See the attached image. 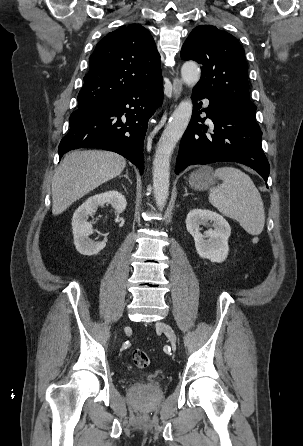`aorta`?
<instances>
[{
  "label": "aorta",
  "mask_w": 303,
  "mask_h": 446,
  "mask_svg": "<svg viewBox=\"0 0 303 446\" xmlns=\"http://www.w3.org/2000/svg\"><path fill=\"white\" fill-rule=\"evenodd\" d=\"M200 68L195 62H186L181 68V77L189 87H194L200 79ZM193 104L183 100L172 113L155 151L153 160V192L156 204L162 208L169 195L170 158L177 142L185 132L191 119Z\"/></svg>",
  "instance_id": "762f6f07"
}]
</instances>
